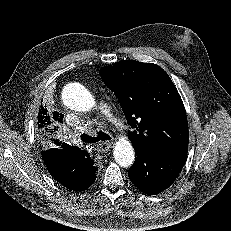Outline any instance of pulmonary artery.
I'll return each mask as SVG.
<instances>
[{"instance_id":"obj_1","label":"pulmonary artery","mask_w":231,"mask_h":231,"mask_svg":"<svg viewBox=\"0 0 231 231\" xmlns=\"http://www.w3.org/2000/svg\"><path fill=\"white\" fill-rule=\"evenodd\" d=\"M98 107H99V109H100L102 112H108V111H109V107H108L106 104H104V103H100V104L98 105Z\"/></svg>"}]
</instances>
